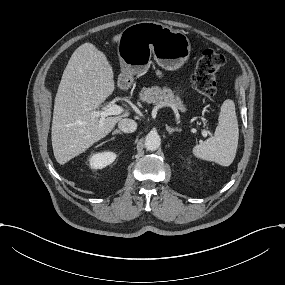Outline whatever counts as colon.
Wrapping results in <instances>:
<instances>
[{
	"label": "colon",
	"instance_id": "1",
	"mask_svg": "<svg viewBox=\"0 0 285 285\" xmlns=\"http://www.w3.org/2000/svg\"><path fill=\"white\" fill-rule=\"evenodd\" d=\"M225 64V57L212 50L202 52L196 62L192 75L195 91L207 98H212L217 93L216 72Z\"/></svg>",
	"mask_w": 285,
	"mask_h": 285
}]
</instances>
